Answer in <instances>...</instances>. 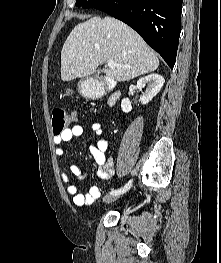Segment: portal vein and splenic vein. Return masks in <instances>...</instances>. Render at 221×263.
<instances>
[{"label":"portal vein and splenic vein","instance_id":"portal-vein-and-splenic-vein-1","mask_svg":"<svg viewBox=\"0 0 221 263\" xmlns=\"http://www.w3.org/2000/svg\"><path fill=\"white\" fill-rule=\"evenodd\" d=\"M108 67H114L116 66V63L113 60H110L107 62Z\"/></svg>","mask_w":221,"mask_h":263}]
</instances>
